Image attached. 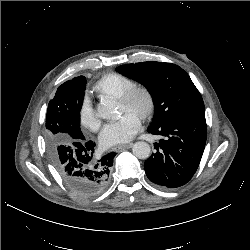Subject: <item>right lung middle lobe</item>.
Instances as JSON below:
<instances>
[{
    "mask_svg": "<svg viewBox=\"0 0 250 250\" xmlns=\"http://www.w3.org/2000/svg\"><path fill=\"white\" fill-rule=\"evenodd\" d=\"M85 88L84 76L73 78L60 85L55 97L49 102L45 141L51 157L58 145L71 144L84 137L80 129V110Z\"/></svg>",
    "mask_w": 250,
    "mask_h": 250,
    "instance_id": "1",
    "label": "right lung middle lobe"
}]
</instances>
